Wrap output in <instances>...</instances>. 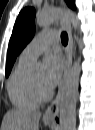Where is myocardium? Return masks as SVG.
Here are the masks:
<instances>
[{
    "label": "myocardium",
    "instance_id": "f54148a6",
    "mask_svg": "<svg viewBox=\"0 0 95 130\" xmlns=\"http://www.w3.org/2000/svg\"><path fill=\"white\" fill-rule=\"evenodd\" d=\"M32 83H33L35 93L41 101H47L51 98L52 96L51 90L41 87L33 79H32Z\"/></svg>",
    "mask_w": 95,
    "mask_h": 130
}]
</instances>
